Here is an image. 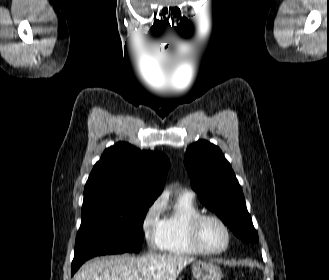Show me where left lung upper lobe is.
I'll use <instances>...</instances> for the list:
<instances>
[{
  "mask_svg": "<svg viewBox=\"0 0 329 280\" xmlns=\"http://www.w3.org/2000/svg\"><path fill=\"white\" fill-rule=\"evenodd\" d=\"M192 188L200 201L248 242L259 241L242 189L221 150L206 140L192 144L184 157Z\"/></svg>",
  "mask_w": 329,
  "mask_h": 280,
  "instance_id": "obj_1",
  "label": "left lung upper lobe"
}]
</instances>
